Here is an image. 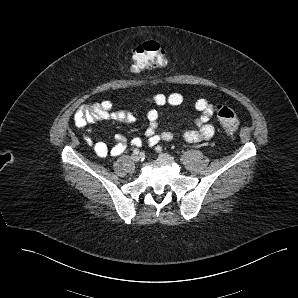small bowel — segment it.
<instances>
[{"instance_id": "small-bowel-1", "label": "small bowel", "mask_w": 298, "mask_h": 298, "mask_svg": "<svg viewBox=\"0 0 298 298\" xmlns=\"http://www.w3.org/2000/svg\"><path fill=\"white\" fill-rule=\"evenodd\" d=\"M184 101L182 94L171 93V94H156L148 97L145 100L148 112V126L145 130V140L140 137H135L131 140V144L134 146H141L147 143L154 146L161 141H172L176 136L170 131L157 132L159 127V119L161 112L155 107H162L166 105L178 106ZM195 109L198 111L196 116L195 128L184 131L180 137L188 143H198L201 141L210 140L215 134V127L210 122L214 114V105L207 99L200 98L195 102ZM116 121L124 124H133L136 120L135 116L125 110H113V104L110 100H103L98 103L85 104L80 106L74 115V122L77 127L85 131L83 135L84 141L94 150L99 157L106 156H119L123 154L128 146L126 138L117 134L115 136L116 143L112 147H108L107 144L101 141H95L92 137L93 131L89 128L91 123L96 121Z\"/></svg>"}]
</instances>
